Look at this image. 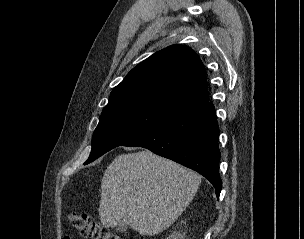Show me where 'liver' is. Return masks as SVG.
I'll return each mask as SVG.
<instances>
[{
	"instance_id": "6515ba94",
	"label": "liver",
	"mask_w": 304,
	"mask_h": 239,
	"mask_svg": "<svg viewBox=\"0 0 304 239\" xmlns=\"http://www.w3.org/2000/svg\"><path fill=\"white\" fill-rule=\"evenodd\" d=\"M201 176L149 150L117 156L101 182L105 227L129 225L153 236L171 226L194 198Z\"/></svg>"
}]
</instances>
